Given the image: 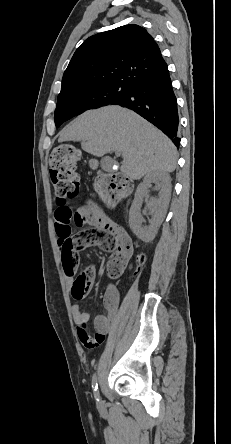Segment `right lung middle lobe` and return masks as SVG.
<instances>
[{"label": "right lung middle lobe", "mask_w": 231, "mask_h": 444, "mask_svg": "<svg viewBox=\"0 0 231 444\" xmlns=\"http://www.w3.org/2000/svg\"><path fill=\"white\" fill-rule=\"evenodd\" d=\"M129 91L130 85L111 83L62 92L57 99L55 125L58 128L63 122L86 110L114 104L124 99Z\"/></svg>", "instance_id": "obj_1"}]
</instances>
